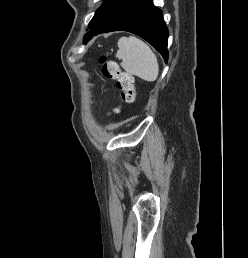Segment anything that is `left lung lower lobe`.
<instances>
[{"mask_svg": "<svg viewBox=\"0 0 248 258\" xmlns=\"http://www.w3.org/2000/svg\"><path fill=\"white\" fill-rule=\"evenodd\" d=\"M112 31H128L149 42L168 60V29L162 11L153 5L152 0H129L100 24L90 29L84 36L88 42L92 36Z\"/></svg>", "mask_w": 248, "mask_h": 258, "instance_id": "obj_1", "label": "left lung lower lobe"}]
</instances>
